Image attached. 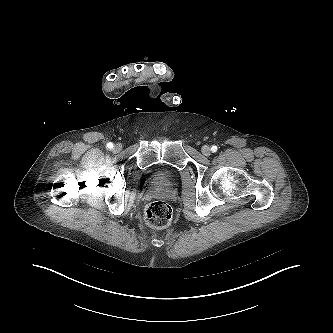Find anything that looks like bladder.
Instances as JSON below:
<instances>
[{"instance_id":"31cf9c89","label":"bladder","mask_w":333,"mask_h":333,"mask_svg":"<svg viewBox=\"0 0 333 333\" xmlns=\"http://www.w3.org/2000/svg\"><path fill=\"white\" fill-rule=\"evenodd\" d=\"M150 175L164 181H170L175 177V171L168 166H160L152 169Z\"/></svg>"}]
</instances>
